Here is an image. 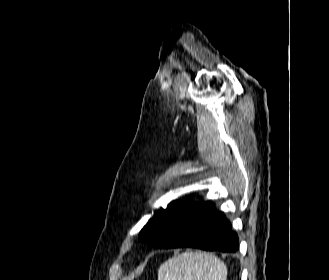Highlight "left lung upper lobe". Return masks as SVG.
Listing matches in <instances>:
<instances>
[{
    "label": "left lung upper lobe",
    "mask_w": 329,
    "mask_h": 280,
    "mask_svg": "<svg viewBox=\"0 0 329 280\" xmlns=\"http://www.w3.org/2000/svg\"><path fill=\"white\" fill-rule=\"evenodd\" d=\"M176 203H178V201H173L167 207V209H162L160 212L156 213L153 218L143 227L139 233V240L141 242L148 243L158 248H163L169 243L168 235L161 233L162 225L168 217L171 206Z\"/></svg>",
    "instance_id": "obj_1"
}]
</instances>
